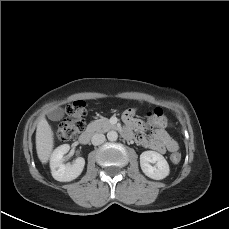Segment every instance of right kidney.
I'll return each mask as SVG.
<instances>
[{
    "instance_id": "right-kidney-1",
    "label": "right kidney",
    "mask_w": 229,
    "mask_h": 229,
    "mask_svg": "<svg viewBox=\"0 0 229 229\" xmlns=\"http://www.w3.org/2000/svg\"><path fill=\"white\" fill-rule=\"evenodd\" d=\"M70 146L63 144L57 147L50 158L52 176L60 182H69L76 179L83 171L85 160L78 157L73 164H64V155L69 151Z\"/></svg>"
}]
</instances>
